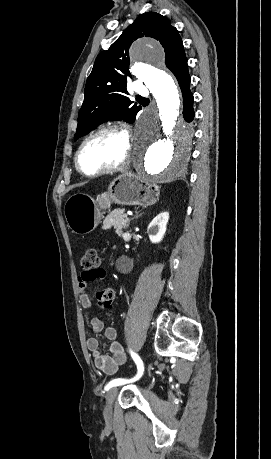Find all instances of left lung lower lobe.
<instances>
[{
	"label": "left lung lower lobe",
	"instance_id": "0a47b994",
	"mask_svg": "<svg viewBox=\"0 0 271 459\" xmlns=\"http://www.w3.org/2000/svg\"><path fill=\"white\" fill-rule=\"evenodd\" d=\"M179 86L181 87L183 96V116L187 122H191L194 118L193 110V94L190 91V76L188 73L187 58L182 60L173 70Z\"/></svg>",
	"mask_w": 271,
	"mask_h": 459
}]
</instances>
